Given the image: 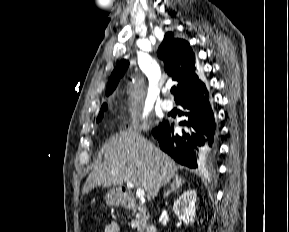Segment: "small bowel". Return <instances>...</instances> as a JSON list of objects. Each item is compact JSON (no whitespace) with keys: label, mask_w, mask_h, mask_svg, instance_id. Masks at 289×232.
Returning a JSON list of instances; mask_svg holds the SVG:
<instances>
[{"label":"small bowel","mask_w":289,"mask_h":232,"mask_svg":"<svg viewBox=\"0 0 289 232\" xmlns=\"http://www.w3.org/2000/svg\"><path fill=\"white\" fill-rule=\"evenodd\" d=\"M104 232H120L119 225L116 222H111L105 226Z\"/></svg>","instance_id":"small-bowel-1"}]
</instances>
